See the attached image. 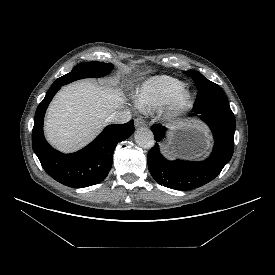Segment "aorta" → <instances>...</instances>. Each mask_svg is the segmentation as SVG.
Masks as SVG:
<instances>
[{"label":"aorta","mask_w":275,"mask_h":275,"mask_svg":"<svg viewBox=\"0 0 275 275\" xmlns=\"http://www.w3.org/2000/svg\"><path fill=\"white\" fill-rule=\"evenodd\" d=\"M134 138L137 145L144 149H150L154 146L153 132L147 127L138 128Z\"/></svg>","instance_id":"obj_1"}]
</instances>
